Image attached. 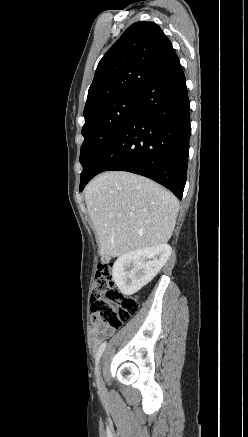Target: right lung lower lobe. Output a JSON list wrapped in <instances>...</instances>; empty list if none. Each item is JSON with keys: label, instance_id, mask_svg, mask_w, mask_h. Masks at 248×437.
Here are the masks:
<instances>
[{"label": "right lung lower lobe", "instance_id": "obj_1", "mask_svg": "<svg viewBox=\"0 0 248 437\" xmlns=\"http://www.w3.org/2000/svg\"><path fill=\"white\" fill-rule=\"evenodd\" d=\"M189 139V98L177 56L138 93L131 113L81 179L80 191L95 175L120 170L148 177L181 199Z\"/></svg>", "mask_w": 248, "mask_h": 437}]
</instances>
